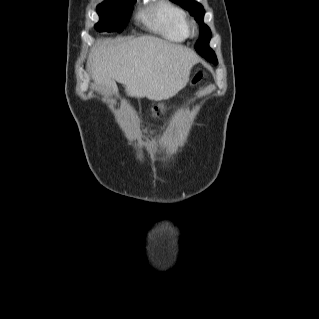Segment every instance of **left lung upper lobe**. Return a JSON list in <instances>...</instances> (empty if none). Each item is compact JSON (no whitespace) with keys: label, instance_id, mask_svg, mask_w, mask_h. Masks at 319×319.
Masks as SVG:
<instances>
[{"label":"left lung upper lobe","instance_id":"5c2ea615","mask_svg":"<svg viewBox=\"0 0 319 319\" xmlns=\"http://www.w3.org/2000/svg\"><path fill=\"white\" fill-rule=\"evenodd\" d=\"M171 1L175 2L176 4H179L181 7L188 10L190 14L195 17L196 21L200 25L199 39L195 45L196 51L199 52V50L197 49V46L199 45V48L202 49L206 53V55L209 57L207 58L208 60H210L211 58H214L216 55L214 51L209 47L211 32L209 27L203 22V17H204L203 6L194 0H171Z\"/></svg>","mask_w":319,"mask_h":319}]
</instances>
